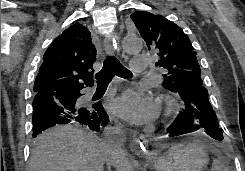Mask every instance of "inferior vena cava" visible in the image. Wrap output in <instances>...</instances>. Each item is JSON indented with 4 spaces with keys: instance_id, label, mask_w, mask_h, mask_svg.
Listing matches in <instances>:
<instances>
[{
    "instance_id": "obj_1",
    "label": "inferior vena cava",
    "mask_w": 245,
    "mask_h": 171,
    "mask_svg": "<svg viewBox=\"0 0 245 171\" xmlns=\"http://www.w3.org/2000/svg\"><path fill=\"white\" fill-rule=\"evenodd\" d=\"M106 135L110 137V149L112 150L113 159H124L126 154L123 149L126 141V133L120 127H108L106 128ZM110 165V164H108Z\"/></svg>"
}]
</instances>
